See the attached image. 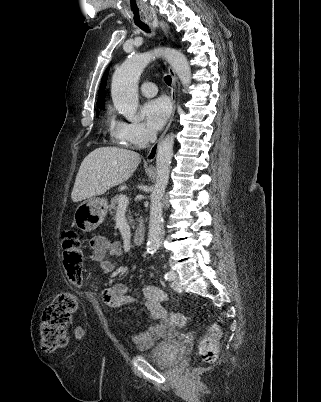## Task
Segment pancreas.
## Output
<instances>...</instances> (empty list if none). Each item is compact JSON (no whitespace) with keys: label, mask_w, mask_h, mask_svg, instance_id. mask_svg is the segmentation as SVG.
Masks as SVG:
<instances>
[{"label":"pancreas","mask_w":321,"mask_h":402,"mask_svg":"<svg viewBox=\"0 0 321 402\" xmlns=\"http://www.w3.org/2000/svg\"><path fill=\"white\" fill-rule=\"evenodd\" d=\"M120 196H122V194L115 195V196L111 199V204H110V206H109V213H110V215H113L114 212H115V210L117 209L118 200H119ZM129 214H130V211H129ZM128 221H129L130 224L133 223V218H132V216H128Z\"/></svg>","instance_id":"pancreas-1"}]
</instances>
